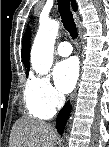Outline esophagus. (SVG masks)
<instances>
[{"mask_svg":"<svg viewBox=\"0 0 109 147\" xmlns=\"http://www.w3.org/2000/svg\"><path fill=\"white\" fill-rule=\"evenodd\" d=\"M72 13H73L74 19L78 20V18H79L78 13L76 11H74V10L72 11ZM75 96H76V91L71 95V98H70L71 103H73V100H74Z\"/></svg>","mask_w":109,"mask_h":147,"instance_id":"esophagus-1","label":"esophagus"}]
</instances>
